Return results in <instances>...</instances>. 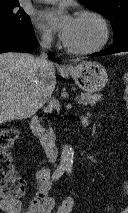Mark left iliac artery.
Returning <instances> with one entry per match:
<instances>
[{
	"label": "left iliac artery",
	"instance_id": "obj_1",
	"mask_svg": "<svg viewBox=\"0 0 128 213\" xmlns=\"http://www.w3.org/2000/svg\"><path fill=\"white\" fill-rule=\"evenodd\" d=\"M66 170H67L68 173H71L72 167H71V166H68V167L66 168Z\"/></svg>",
	"mask_w": 128,
	"mask_h": 213
}]
</instances>
